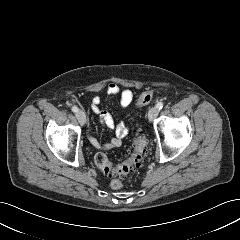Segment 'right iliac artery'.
I'll use <instances>...</instances> for the list:
<instances>
[{"label":"right iliac artery","instance_id":"obj_1","mask_svg":"<svg viewBox=\"0 0 240 240\" xmlns=\"http://www.w3.org/2000/svg\"><path fill=\"white\" fill-rule=\"evenodd\" d=\"M78 110H79V109H78L76 106H73V107H72V111H73L74 113H77Z\"/></svg>","mask_w":240,"mask_h":240}]
</instances>
